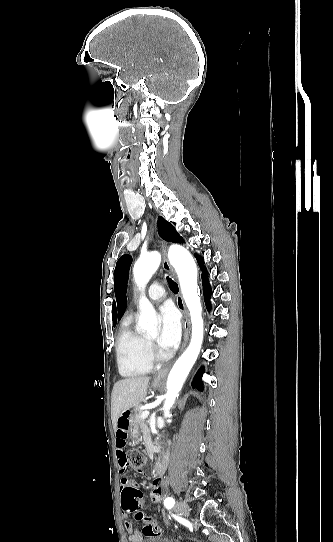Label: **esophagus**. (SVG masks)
<instances>
[{
  "mask_svg": "<svg viewBox=\"0 0 333 542\" xmlns=\"http://www.w3.org/2000/svg\"><path fill=\"white\" fill-rule=\"evenodd\" d=\"M162 253H163V264H162L163 269L170 271L171 273H174L171 265L168 262L167 245L164 242H162ZM177 307L183 314V343L181 346V352H182V350L186 347V344L188 342L189 335H190V319H189V315L186 310V307L184 305L182 295L180 293L177 296ZM168 372H169V367H162L159 370V372L155 375L152 382L157 383V382L162 381L167 376Z\"/></svg>",
  "mask_w": 333,
  "mask_h": 542,
  "instance_id": "1",
  "label": "esophagus"
}]
</instances>
